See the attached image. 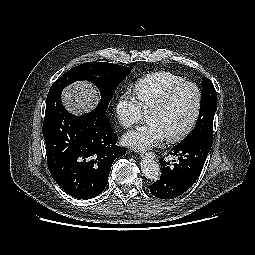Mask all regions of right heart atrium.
I'll list each match as a JSON object with an SVG mask.
<instances>
[{
    "mask_svg": "<svg viewBox=\"0 0 255 255\" xmlns=\"http://www.w3.org/2000/svg\"><path fill=\"white\" fill-rule=\"evenodd\" d=\"M145 113L133 94L127 90L120 92L115 103V116L119 124L125 128L138 123Z\"/></svg>",
    "mask_w": 255,
    "mask_h": 255,
    "instance_id": "right-heart-atrium-1",
    "label": "right heart atrium"
}]
</instances>
